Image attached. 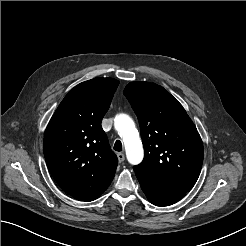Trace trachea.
<instances>
[{
	"label": "trachea",
	"mask_w": 246,
	"mask_h": 246,
	"mask_svg": "<svg viewBox=\"0 0 246 246\" xmlns=\"http://www.w3.org/2000/svg\"><path fill=\"white\" fill-rule=\"evenodd\" d=\"M113 149H114L115 151H122V143H121V141L117 140V141L115 142V144H114Z\"/></svg>",
	"instance_id": "obj_1"
}]
</instances>
